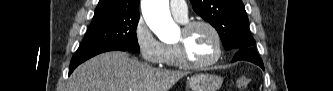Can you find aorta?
Returning a JSON list of instances; mask_svg holds the SVG:
<instances>
[{
    "label": "aorta",
    "instance_id": "obj_1",
    "mask_svg": "<svg viewBox=\"0 0 333 91\" xmlns=\"http://www.w3.org/2000/svg\"><path fill=\"white\" fill-rule=\"evenodd\" d=\"M141 8L147 25L160 40L177 35L178 27L171 17L168 0H142Z\"/></svg>",
    "mask_w": 333,
    "mask_h": 91
}]
</instances>
